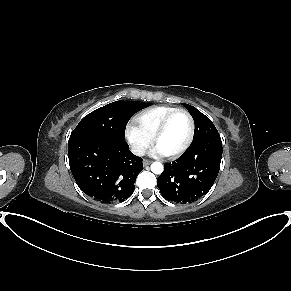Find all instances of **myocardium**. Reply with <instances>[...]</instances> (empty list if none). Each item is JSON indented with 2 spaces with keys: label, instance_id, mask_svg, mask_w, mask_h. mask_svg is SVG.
I'll return each mask as SVG.
<instances>
[{
  "label": "myocardium",
  "instance_id": "myocardium-1",
  "mask_svg": "<svg viewBox=\"0 0 291 291\" xmlns=\"http://www.w3.org/2000/svg\"><path fill=\"white\" fill-rule=\"evenodd\" d=\"M185 114L189 120V135L187 138V141L185 142V144L177 151L173 152V153H169V154H163L164 157L166 158H170V159H174L177 158L179 156H181L182 154H184L189 147L191 146L193 139H194V134H195V123H194V119L192 117V115L185 109H176L172 112H170L160 123V125L158 126L157 130L155 131L154 135L152 136L151 140L153 145L156 146L158 140L160 139V137L163 135V133L165 132L167 125L169 123V121L171 120V118L173 116H175L176 114Z\"/></svg>",
  "mask_w": 291,
  "mask_h": 291
}]
</instances>
